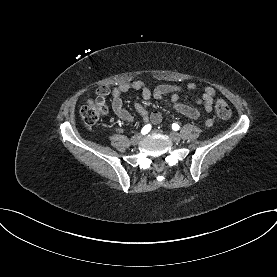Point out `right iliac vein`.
I'll list each match as a JSON object with an SVG mask.
<instances>
[{
	"instance_id": "1",
	"label": "right iliac vein",
	"mask_w": 277,
	"mask_h": 277,
	"mask_svg": "<svg viewBox=\"0 0 277 277\" xmlns=\"http://www.w3.org/2000/svg\"><path fill=\"white\" fill-rule=\"evenodd\" d=\"M143 139V135L141 134H136L131 138V143L132 144H138L139 142H141V140Z\"/></svg>"
}]
</instances>
